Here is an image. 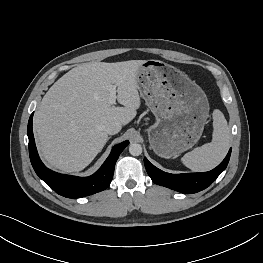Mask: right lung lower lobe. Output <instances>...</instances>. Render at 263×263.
Returning a JSON list of instances; mask_svg holds the SVG:
<instances>
[{
  "label": "right lung lower lobe",
  "mask_w": 263,
  "mask_h": 263,
  "mask_svg": "<svg viewBox=\"0 0 263 263\" xmlns=\"http://www.w3.org/2000/svg\"><path fill=\"white\" fill-rule=\"evenodd\" d=\"M32 119L33 113L27 128L30 160L36 174L57 194L67 198H80L100 192L110 185L115 163L129 141L114 146L104 164L93 175L89 177L63 175L49 170L40 160L33 136Z\"/></svg>",
  "instance_id": "98d812e1"
}]
</instances>
